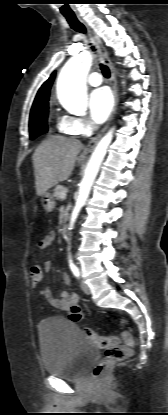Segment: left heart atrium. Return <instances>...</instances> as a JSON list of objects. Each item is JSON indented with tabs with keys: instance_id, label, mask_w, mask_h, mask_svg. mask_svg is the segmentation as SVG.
I'll return each mask as SVG.
<instances>
[{
	"instance_id": "39dd6f15",
	"label": "left heart atrium",
	"mask_w": 168,
	"mask_h": 415,
	"mask_svg": "<svg viewBox=\"0 0 168 415\" xmlns=\"http://www.w3.org/2000/svg\"><path fill=\"white\" fill-rule=\"evenodd\" d=\"M113 98L107 88L94 90L89 97L90 116L95 123H103L110 115Z\"/></svg>"
}]
</instances>
